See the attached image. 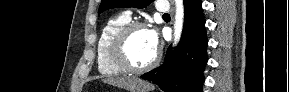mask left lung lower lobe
<instances>
[{
  "label": "left lung lower lobe",
  "instance_id": "obj_1",
  "mask_svg": "<svg viewBox=\"0 0 289 92\" xmlns=\"http://www.w3.org/2000/svg\"><path fill=\"white\" fill-rule=\"evenodd\" d=\"M182 37L164 64L141 78L157 84L164 92H203V71L207 64V34L201 0H184Z\"/></svg>",
  "mask_w": 289,
  "mask_h": 92
}]
</instances>
